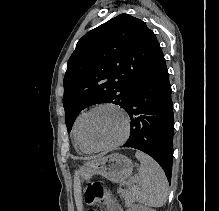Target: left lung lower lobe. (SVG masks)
I'll list each match as a JSON object with an SVG mask.
<instances>
[{
    "label": "left lung lower lobe",
    "instance_id": "1",
    "mask_svg": "<svg viewBox=\"0 0 219 211\" xmlns=\"http://www.w3.org/2000/svg\"><path fill=\"white\" fill-rule=\"evenodd\" d=\"M171 85L164 57L137 83L125 110L131 118L132 147L155 159L171 181L174 113Z\"/></svg>",
    "mask_w": 219,
    "mask_h": 211
}]
</instances>
